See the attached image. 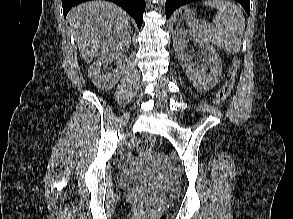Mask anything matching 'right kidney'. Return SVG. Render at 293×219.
<instances>
[{"label":"right kidney","instance_id":"ca27d5eb","mask_svg":"<svg viewBox=\"0 0 293 219\" xmlns=\"http://www.w3.org/2000/svg\"><path fill=\"white\" fill-rule=\"evenodd\" d=\"M112 62L116 63L117 68L113 74L107 72V67ZM126 57L120 56H108L100 57L94 62L88 69V74L93 84L99 89H112L122 75L123 68L125 66Z\"/></svg>","mask_w":293,"mask_h":219}]
</instances>
